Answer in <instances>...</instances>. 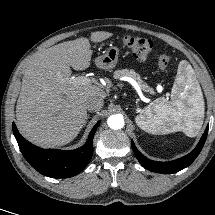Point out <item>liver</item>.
Wrapping results in <instances>:
<instances>
[{"label": "liver", "mask_w": 215, "mask_h": 215, "mask_svg": "<svg viewBox=\"0 0 215 215\" xmlns=\"http://www.w3.org/2000/svg\"><path fill=\"white\" fill-rule=\"evenodd\" d=\"M112 35L96 31L91 33L90 40L98 43ZM90 46L84 37L63 42L36 52L27 63L16 118L18 129L29 141L41 147L71 142L86 122V100L106 98L104 88L96 81L77 86L68 81L70 67L74 70L90 67Z\"/></svg>", "instance_id": "6515ba94"}]
</instances>
